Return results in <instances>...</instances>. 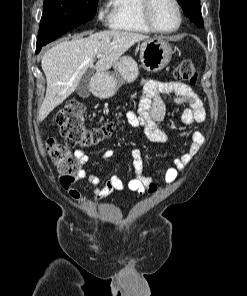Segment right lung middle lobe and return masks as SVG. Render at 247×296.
<instances>
[{"mask_svg": "<svg viewBox=\"0 0 247 296\" xmlns=\"http://www.w3.org/2000/svg\"><path fill=\"white\" fill-rule=\"evenodd\" d=\"M97 3L98 0H44L36 53L65 32L91 20Z\"/></svg>", "mask_w": 247, "mask_h": 296, "instance_id": "1", "label": "right lung middle lobe"}]
</instances>
